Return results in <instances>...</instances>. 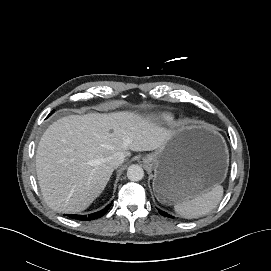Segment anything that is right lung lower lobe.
Masks as SVG:
<instances>
[{"label": "right lung lower lobe", "mask_w": 271, "mask_h": 271, "mask_svg": "<svg viewBox=\"0 0 271 271\" xmlns=\"http://www.w3.org/2000/svg\"><path fill=\"white\" fill-rule=\"evenodd\" d=\"M111 203L106 206L104 209H102L101 211L92 213L90 215H69L70 218L76 219V220H81V221H88V220H94L97 218L102 217L110 208Z\"/></svg>", "instance_id": "right-lung-lower-lobe-1"}]
</instances>
